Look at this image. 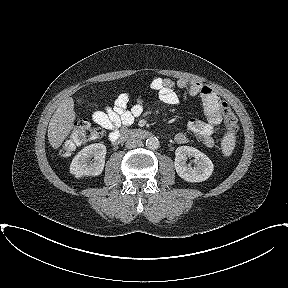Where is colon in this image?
Masks as SVG:
<instances>
[{
    "mask_svg": "<svg viewBox=\"0 0 288 288\" xmlns=\"http://www.w3.org/2000/svg\"><path fill=\"white\" fill-rule=\"evenodd\" d=\"M220 112L224 118V123L228 131L236 135L237 132V120L232 113L227 103L221 102ZM102 136L101 129L94 127L87 120H78L74 123L71 133L64 142L62 152L69 154L76 147L85 144L87 142L96 140Z\"/></svg>",
    "mask_w": 288,
    "mask_h": 288,
    "instance_id": "colon-1",
    "label": "colon"
}]
</instances>
